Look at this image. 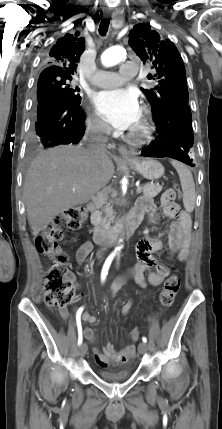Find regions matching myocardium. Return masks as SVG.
<instances>
[{"mask_svg":"<svg viewBox=\"0 0 222 429\" xmlns=\"http://www.w3.org/2000/svg\"><path fill=\"white\" fill-rule=\"evenodd\" d=\"M151 125L146 110L142 111L139 122L130 131L129 137L135 143H142L150 135Z\"/></svg>","mask_w":222,"mask_h":429,"instance_id":"1","label":"myocardium"}]
</instances>
